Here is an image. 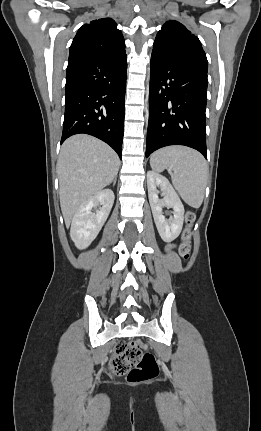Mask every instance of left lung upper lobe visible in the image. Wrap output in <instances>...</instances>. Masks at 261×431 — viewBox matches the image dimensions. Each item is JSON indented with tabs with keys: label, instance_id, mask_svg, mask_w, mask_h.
<instances>
[{
	"label": "left lung upper lobe",
	"instance_id": "left-lung-upper-lobe-1",
	"mask_svg": "<svg viewBox=\"0 0 261 431\" xmlns=\"http://www.w3.org/2000/svg\"><path fill=\"white\" fill-rule=\"evenodd\" d=\"M152 52L208 71L206 54L199 39L178 21L170 20L162 26L154 41Z\"/></svg>",
	"mask_w": 261,
	"mask_h": 431
}]
</instances>
